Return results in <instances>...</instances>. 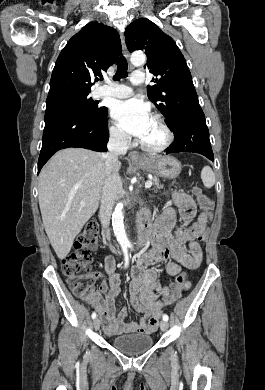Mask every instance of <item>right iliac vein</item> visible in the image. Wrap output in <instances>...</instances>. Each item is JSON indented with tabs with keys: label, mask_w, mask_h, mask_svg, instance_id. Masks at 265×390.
Masks as SVG:
<instances>
[{
	"label": "right iliac vein",
	"mask_w": 265,
	"mask_h": 390,
	"mask_svg": "<svg viewBox=\"0 0 265 390\" xmlns=\"http://www.w3.org/2000/svg\"><path fill=\"white\" fill-rule=\"evenodd\" d=\"M93 326H94V329L95 330H98L99 327H100V320L99 318H95L94 321H93Z\"/></svg>",
	"instance_id": "right-iliac-vein-1"
}]
</instances>
